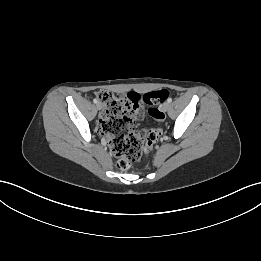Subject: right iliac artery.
Wrapping results in <instances>:
<instances>
[{
    "label": "right iliac artery",
    "instance_id": "82829eb1",
    "mask_svg": "<svg viewBox=\"0 0 261 261\" xmlns=\"http://www.w3.org/2000/svg\"><path fill=\"white\" fill-rule=\"evenodd\" d=\"M93 102H94L95 104H97V103H98V100H97V99H94Z\"/></svg>",
    "mask_w": 261,
    "mask_h": 261
}]
</instances>
